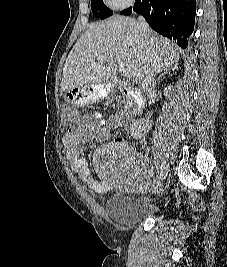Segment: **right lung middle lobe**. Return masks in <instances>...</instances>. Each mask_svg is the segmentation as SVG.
<instances>
[{"instance_id":"dd1d6c3e","label":"right lung middle lobe","mask_w":227,"mask_h":267,"mask_svg":"<svg viewBox=\"0 0 227 267\" xmlns=\"http://www.w3.org/2000/svg\"><path fill=\"white\" fill-rule=\"evenodd\" d=\"M91 10L95 17L105 19L113 14L102 0H91Z\"/></svg>"}]
</instances>
